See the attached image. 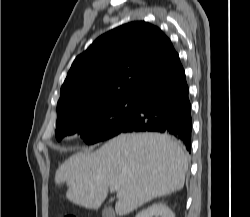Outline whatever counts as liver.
<instances>
[{"mask_svg":"<svg viewBox=\"0 0 250 217\" xmlns=\"http://www.w3.org/2000/svg\"><path fill=\"white\" fill-rule=\"evenodd\" d=\"M187 157L166 134H120L94 152H78L57 169L55 183L67 184V199L97 210L108 189L117 193L119 216L133 212L154 198L183 188Z\"/></svg>","mask_w":250,"mask_h":217,"instance_id":"6515ba94","label":"liver"}]
</instances>
